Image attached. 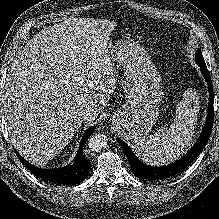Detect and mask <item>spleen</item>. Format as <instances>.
Wrapping results in <instances>:
<instances>
[{
  "mask_svg": "<svg viewBox=\"0 0 219 219\" xmlns=\"http://www.w3.org/2000/svg\"><path fill=\"white\" fill-rule=\"evenodd\" d=\"M198 109L196 93L192 90L185 92L183 100L177 104L174 123L170 128L161 127L154 135L134 139L133 150L136 156L156 166L179 158L194 136Z\"/></svg>",
  "mask_w": 219,
  "mask_h": 219,
  "instance_id": "1",
  "label": "spleen"
}]
</instances>
